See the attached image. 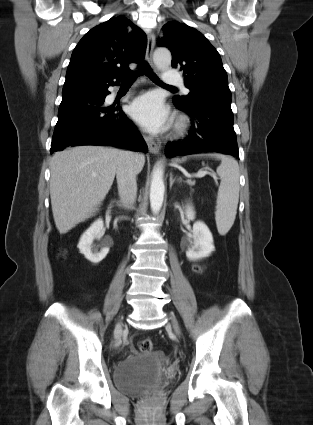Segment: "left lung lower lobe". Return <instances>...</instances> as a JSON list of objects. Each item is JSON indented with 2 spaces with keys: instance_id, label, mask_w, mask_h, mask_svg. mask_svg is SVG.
<instances>
[{
  "instance_id": "left-lung-lower-lobe-1",
  "label": "left lung lower lobe",
  "mask_w": 313,
  "mask_h": 425,
  "mask_svg": "<svg viewBox=\"0 0 313 425\" xmlns=\"http://www.w3.org/2000/svg\"><path fill=\"white\" fill-rule=\"evenodd\" d=\"M174 104L191 117L190 137L176 143H168L166 156L215 152L239 158L231 104L211 101H202L190 106Z\"/></svg>"
}]
</instances>
